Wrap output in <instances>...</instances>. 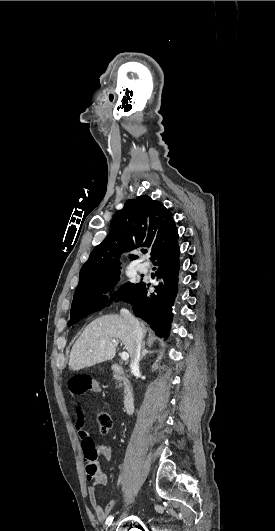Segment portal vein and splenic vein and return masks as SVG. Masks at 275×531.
<instances>
[{"label":"portal vein and splenic vein","mask_w":275,"mask_h":531,"mask_svg":"<svg viewBox=\"0 0 275 531\" xmlns=\"http://www.w3.org/2000/svg\"><path fill=\"white\" fill-rule=\"evenodd\" d=\"M112 343H116V339H113ZM121 359H122V361H128L129 353H125V351H123V353L121 355Z\"/></svg>","instance_id":"18ae733b"}]
</instances>
